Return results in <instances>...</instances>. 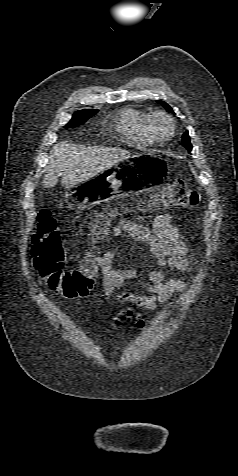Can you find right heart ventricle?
<instances>
[{
    "mask_svg": "<svg viewBox=\"0 0 238 476\" xmlns=\"http://www.w3.org/2000/svg\"><path fill=\"white\" fill-rule=\"evenodd\" d=\"M150 114L136 108H124L119 113L118 128L124 138L138 147H149L156 143L148 128Z\"/></svg>",
    "mask_w": 238,
    "mask_h": 476,
    "instance_id": "e07e8e85",
    "label": "right heart ventricle"
}]
</instances>
